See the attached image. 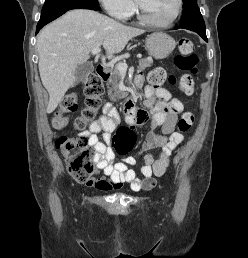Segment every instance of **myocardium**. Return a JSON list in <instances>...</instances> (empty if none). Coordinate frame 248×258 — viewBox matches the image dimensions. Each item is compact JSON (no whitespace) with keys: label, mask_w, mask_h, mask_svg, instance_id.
I'll use <instances>...</instances> for the list:
<instances>
[{"label":"myocardium","mask_w":248,"mask_h":258,"mask_svg":"<svg viewBox=\"0 0 248 258\" xmlns=\"http://www.w3.org/2000/svg\"><path fill=\"white\" fill-rule=\"evenodd\" d=\"M139 2H140L139 0H134V9H135L137 18L142 23H144L150 27H156V28H166V27L172 26L176 22V20L179 18L180 14L182 13V9H183V1L177 0V9H176V12L173 15V17L166 22H156L146 16V14Z\"/></svg>","instance_id":"myocardium-1"}]
</instances>
